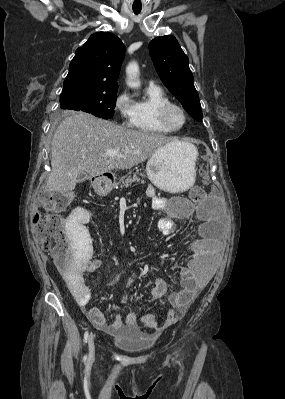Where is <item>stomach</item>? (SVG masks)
<instances>
[{
  "label": "stomach",
  "instance_id": "stomach-1",
  "mask_svg": "<svg viewBox=\"0 0 285 399\" xmlns=\"http://www.w3.org/2000/svg\"><path fill=\"white\" fill-rule=\"evenodd\" d=\"M197 155L196 147L190 143H170L150 157L146 165V174L156 187L164 191H185L195 181ZM92 186L97 195L106 196L112 190L113 183L102 176L94 179Z\"/></svg>",
  "mask_w": 285,
  "mask_h": 399
}]
</instances>
